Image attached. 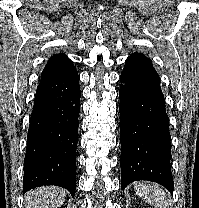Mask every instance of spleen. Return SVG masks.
<instances>
[{"label":"spleen","mask_w":199,"mask_h":208,"mask_svg":"<svg viewBox=\"0 0 199 208\" xmlns=\"http://www.w3.org/2000/svg\"><path fill=\"white\" fill-rule=\"evenodd\" d=\"M135 191L146 203L157 208H168L166 192L153 183H139Z\"/></svg>","instance_id":"1"}]
</instances>
